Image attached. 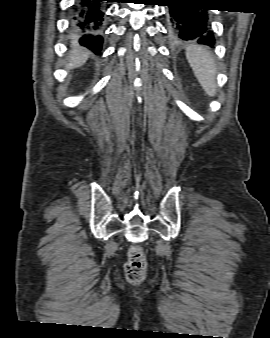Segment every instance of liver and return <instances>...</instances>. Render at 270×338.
I'll return each mask as SVG.
<instances>
[{"label":"liver","instance_id":"obj_1","mask_svg":"<svg viewBox=\"0 0 270 338\" xmlns=\"http://www.w3.org/2000/svg\"><path fill=\"white\" fill-rule=\"evenodd\" d=\"M90 51L82 47H74L69 54V63L66 69L71 70L82 66L88 59Z\"/></svg>","mask_w":270,"mask_h":338}]
</instances>
